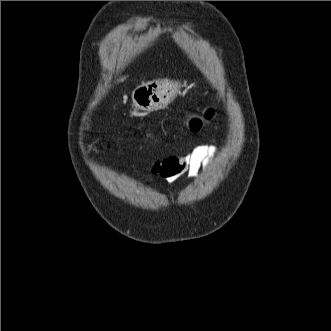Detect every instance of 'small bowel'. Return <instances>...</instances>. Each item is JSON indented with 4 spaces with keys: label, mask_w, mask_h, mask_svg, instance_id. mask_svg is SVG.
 Masks as SVG:
<instances>
[{
    "label": "small bowel",
    "mask_w": 331,
    "mask_h": 331,
    "mask_svg": "<svg viewBox=\"0 0 331 331\" xmlns=\"http://www.w3.org/2000/svg\"><path fill=\"white\" fill-rule=\"evenodd\" d=\"M217 153L215 145H199L185 155L154 162L150 173L169 183L182 174L192 179L209 167Z\"/></svg>",
    "instance_id": "1"
}]
</instances>
